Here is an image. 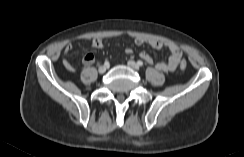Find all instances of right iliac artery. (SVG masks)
<instances>
[{
  "instance_id": "82829eb1",
  "label": "right iliac artery",
  "mask_w": 244,
  "mask_h": 157,
  "mask_svg": "<svg viewBox=\"0 0 244 157\" xmlns=\"http://www.w3.org/2000/svg\"><path fill=\"white\" fill-rule=\"evenodd\" d=\"M104 65H105V66H109V62H108V61H105V62H104Z\"/></svg>"
}]
</instances>
